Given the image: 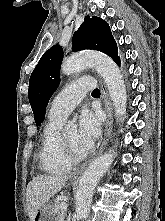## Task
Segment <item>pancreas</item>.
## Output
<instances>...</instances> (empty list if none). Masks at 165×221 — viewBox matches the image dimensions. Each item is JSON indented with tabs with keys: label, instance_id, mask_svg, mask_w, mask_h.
<instances>
[{
	"label": "pancreas",
	"instance_id": "obj_1",
	"mask_svg": "<svg viewBox=\"0 0 165 221\" xmlns=\"http://www.w3.org/2000/svg\"><path fill=\"white\" fill-rule=\"evenodd\" d=\"M53 210H54V213L56 214L57 216V221H64L63 218H64V210L61 206V202H55L54 205H53Z\"/></svg>",
	"mask_w": 165,
	"mask_h": 221
}]
</instances>
